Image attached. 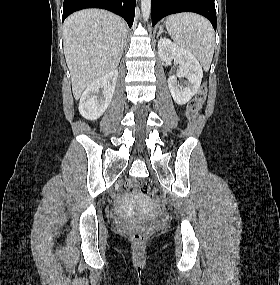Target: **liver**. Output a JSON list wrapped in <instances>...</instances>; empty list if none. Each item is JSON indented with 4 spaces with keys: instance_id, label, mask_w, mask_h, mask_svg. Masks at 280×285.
Returning <instances> with one entry per match:
<instances>
[{
    "instance_id": "obj_1",
    "label": "liver",
    "mask_w": 280,
    "mask_h": 285,
    "mask_svg": "<svg viewBox=\"0 0 280 285\" xmlns=\"http://www.w3.org/2000/svg\"><path fill=\"white\" fill-rule=\"evenodd\" d=\"M127 35L125 22L100 9H86L64 22V54L74 98L97 78L117 68Z\"/></svg>"
}]
</instances>
